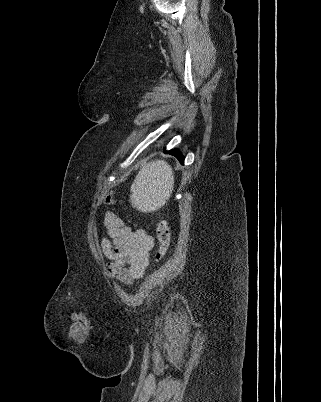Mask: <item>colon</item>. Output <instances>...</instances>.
<instances>
[{
    "mask_svg": "<svg viewBox=\"0 0 321 402\" xmlns=\"http://www.w3.org/2000/svg\"><path fill=\"white\" fill-rule=\"evenodd\" d=\"M105 204L113 205L116 204V199L113 195L108 194L105 198ZM156 233L158 239V249L155 255L157 261L165 258L170 247V232L168 225L165 221L159 220L156 224Z\"/></svg>",
    "mask_w": 321,
    "mask_h": 402,
    "instance_id": "obj_1",
    "label": "colon"
}]
</instances>
